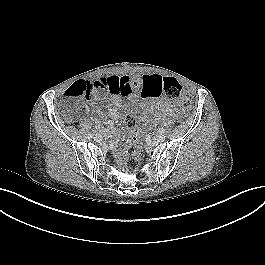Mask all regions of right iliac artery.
Segmentation results:
<instances>
[{
    "mask_svg": "<svg viewBox=\"0 0 265 265\" xmlns=\"http://www.w3.org/2000/svg\"><path fill=\"white\" fill-rule=\"evenodd\" d=\"M93 136H94V135H93V134H91V133H90V134H88V138H89V139H92V138H93Z\"/></svg>",
    "mask_w": 265,
    "mask_h": 265,
    "instance_id": "1",
    "label": "right iliac artery"
}]
</instances>
